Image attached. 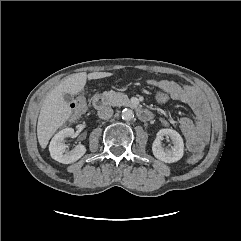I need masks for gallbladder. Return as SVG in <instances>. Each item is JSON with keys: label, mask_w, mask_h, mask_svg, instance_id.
Returning <instances> with one entry per match:
<instances>
[{"label": "gallbladder", "mask_w": 241, "mask_h": 241, "mask_svg": "<svg viewBox=\"0 0 241 241\" xmlns=\"http://www.w3.org/2000/svg\"><path fill=\"white\" fill-rule=\"evenodd\" d=\"M63 98H64V100L68 103V104H70L72 101H73V95L72 94H70V93H65L64 95H63Z\"/></svg>", "instance_id": "1"}]
</instances>
